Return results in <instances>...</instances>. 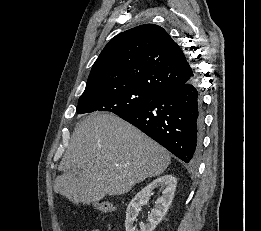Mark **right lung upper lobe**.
<instances>
[{
  "instance_id": "cb5924a9",
  "label": "right lung upper lobe",
  "mask_w": 261,
  "mask_h": 231,
  "mask_svg": "<svg viewBox=\"0 0 261 231\" xmlns=\"http://www.w3.org/2000/svg\"><path fill=\"white\" fill-rule=\"evenodd\" d=\"M194 76L169 34L158 25L144 24L118 34L105 46L83 94L133 86L159 95Z\"/></svg>"
}]
</instances>
